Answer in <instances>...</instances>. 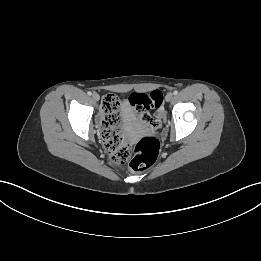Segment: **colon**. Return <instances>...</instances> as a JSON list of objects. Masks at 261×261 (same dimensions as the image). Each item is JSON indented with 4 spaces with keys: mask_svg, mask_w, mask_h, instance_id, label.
Returning <instances> with one entry per match:
<instances>
[{
    "mask_svg": "<svg viewBox=\"0 0 261 261\" xmlns=\"http://www.w3.org/2000/svg\"><path fill=\"white\" fill-rule=\"evenodd\" d=\"M162 93L154 90L150 93H135L126 96V102L132 104V113L139 121L153 129H158L163 120L164 108ZM152 108V115L149 110ZM104 112L102 138L110 160L117 166L128 164L136 172L148 169L157 159L160 149L159 141L154 137H144L135 144L126 141L120 128L121 116L119 101L109 94L103 98Z\"/></svg>",
    "mask_w": 261,
    "mask_h": 261,
    "instance_id": "obj_1",
    "label": "colon"
}]
</instances>
